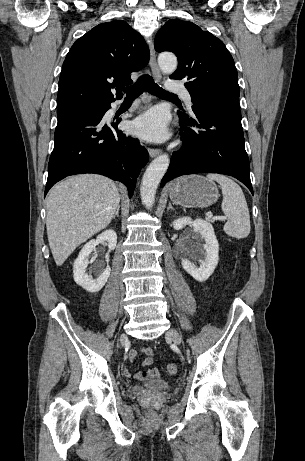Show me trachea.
Returning a JSON list of instances; mask_svg holds the SVG:
<instances>
[{
	"mask_svg": "<svg viewBox=\"0 0 305 461\" xmlns=\"http://www.w3.org/2000/svg\"><path fill=\"white\" fill-rule=\"evenodd\" d=\"M145 90L147 92H149L150 94H153V95L158 96V97H162V98L175 97V98H177V95H175L173 93H169V92L165 91L164 89H162L161 87H159L154 82L153 78L148 74H144V75L140 76V78L138 79V81L135 84L123 89V91L126 93V99H136Z\"/></svg>",
	"mask_w": 305,
	"mask_h": 461,
	"instance_id": "trachea-1",
	"label": "trachea"
}]
</instances>
